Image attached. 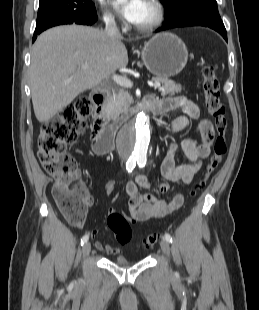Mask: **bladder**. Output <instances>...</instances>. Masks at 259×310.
<instances>
[{"label": "bladder", "instance_id": "bladder-1", "mask_svg": "<svg viewBox=\"0 0 259 310\" xmlns=\"http://www.w3.org/2000/svg\"><path fill=\"white\" fill-rule=\"evenodd\" d=\"M113 261L117 264V265H120V266H128L130 263L129 261L123 257V256H117L113 259Z\"/></svg>", "mask_w": 259, "mask_h": 310}]
</instances>
